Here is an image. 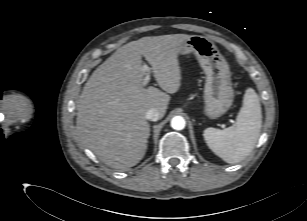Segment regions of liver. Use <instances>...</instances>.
<instances>
[{
    "label": "liver",
    "instance_id": "1",
    "mask_svg": "<svg viewBox=\"0 0 307 221\" xmlns=\"http://www.w3.org/2000/svg\"><path fill=\"white\" fill-rule=\"evenodd\" d=\"M185 34L143 37L120 47L85 83L77 102V135L107 166L125 170L144 157L149 137L146 112L164 117L181 85L178 54ZM142 56L161 91L142 85Z\"/></svg>",
    "mask_w": 307,
    "mask_h": 221
}]
</instances>
